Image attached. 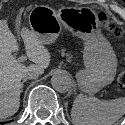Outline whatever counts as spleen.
<instances>
[{"instance_id": "spleen-1", "label": "spleen", "mask_w": 125, "mask_h": 125, "mask_svg": "<svg viewBox=\"0 0 125 125\" xmlns=\"http://www.w3.org/2000/svg\"><path fill=\"white\" fill-rule=\"evenodd\" d=\"M125 114V97L100 100L78 95L72 105L74 125H112Z\"/></svg>"}]
</instances>
